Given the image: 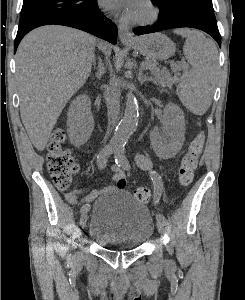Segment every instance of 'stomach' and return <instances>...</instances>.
Listing matches in <instances>:
<instances>
[{
    "label": "stomach",
    "mask_w": 245,
    "mask_h": 300,
    "mask_svg": "<svg viewBox=\"0 0 245 300\" xmlns=\"http://www.w3.org/2000/svg\"><path fill=\"white\" fill-rule=\"evenodd\" d=\"M131 46L152 60H166L175 52L174 43L162 33L141 36Z\"/></svg>",
    "instance_id": "obj_1"
}]
</instances>
